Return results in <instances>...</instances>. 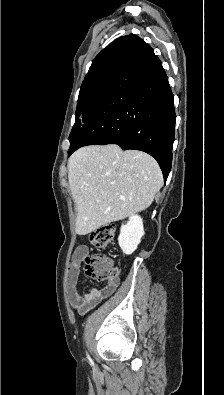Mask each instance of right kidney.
Here are the masks:
<instances>
[{"label":"right kidney","instance_id":"right-kidney-1","mask_svg":"<svg viewBox=\"0 0 224 395\" xmlns=\"http://www.w3.org/2000/svg\"><path fill=\"white\" fill-rule=\"evenodd\" d=\"M144 235V227L142 218L138 215L129 217V222L125 226H121L118 242L121 250L126 255H131L141 242Z\"/></svg>","mask_w":224,"mask_h":395}]
</instances>
